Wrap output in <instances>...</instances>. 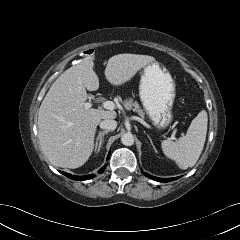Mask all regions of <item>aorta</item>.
Here are the masks:
<instances>
[{
	"label": "aorta",
	"instance_id": "aorta-1",
	"mask_svg": "<svg viewBox=\"0 0 240 240\" xmlns=\"http://www.w3.org/2000/svg\"><path fill=\"white\" fill-rule=\"evenodd\" d=\"M121 143L125 146H131L134 144V136L131 133H125L121 137Z\"/></svg>",
	"mask_w": 240,
	"mask_h": 240
}]
</instances>
